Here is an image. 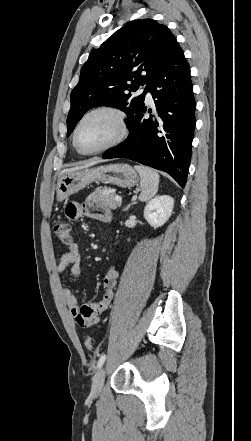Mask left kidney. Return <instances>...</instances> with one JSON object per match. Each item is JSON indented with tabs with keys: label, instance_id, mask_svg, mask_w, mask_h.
I'll return each mask as SVG.
<instances>
[{
	"label": "left kidney",
	"instance_id": "5707ae66",
	"mask_svg": "<svg viewBox=\"0 0 251 441\" xmlns=\"http://www.w3.org/2000/svg\"><path fill=\"white\" fill-rule=\"evenodd\" d=\"M173 207L174 199L171 196L156 197L145 206L144 218L152 227H161L170 218Z\"/></svg>",
	"mask_w": 251,
	"mask_h": 441
}]
</instances>
